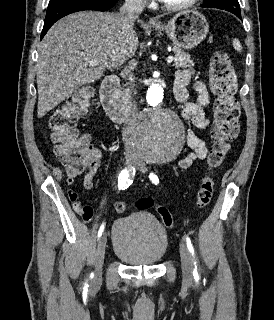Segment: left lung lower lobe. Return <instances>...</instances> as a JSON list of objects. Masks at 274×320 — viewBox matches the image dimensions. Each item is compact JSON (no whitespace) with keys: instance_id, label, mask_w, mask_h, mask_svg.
Returning a JSON list of instances; mask_svg holds the SVG:
<instances>
[{"instance_id":"left-lung-lower-lobe-1","label":"left lung lower lobe","mask_w":274,"mask_h":320,"mask_svg":"<svg viewBox=\"0 0 274 320\" xmlns=\"http://www.w3.org/2000/svg\"><path fill=\"white\" fill-rule=\"evenodd\" d=\"M233 14H235L237 17H239L240 19H242V18H241V13H240V12H234Z\"/></svg>"}]
</instances>
